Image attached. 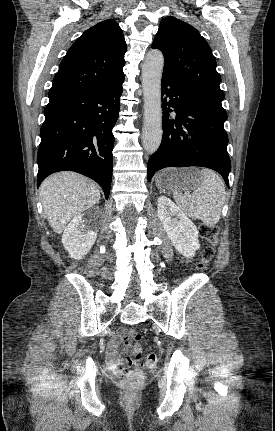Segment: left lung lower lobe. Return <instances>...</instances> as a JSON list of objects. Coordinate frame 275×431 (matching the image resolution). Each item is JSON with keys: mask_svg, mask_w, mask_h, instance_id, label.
<instances>
[{"mask_svg": "<svg viewBox=\"0 0 275 431\" xmlns=\"http://www.w3.org/2000/svg\"><path fill=\"white\" fill-rule=\"evenodd\" d=\"M161 94L163 137L148 161V181L165 167L202 166L220 173L229 187L227 114L204 105L167 74L162 75ZM172 111L175 119L169 118Z\"/></svg>", "mask_w": 275, "mask_h": 431, "instance_id": "1", "label": "left lung lower lobe"}]
</instances>
